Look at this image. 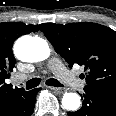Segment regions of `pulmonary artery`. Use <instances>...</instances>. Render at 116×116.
<instances>
[{
	"label": "pulmonary artery",
	"instance_id": "obj_1",
	"mask_svg": "<svg viewBox=\"0 0 116 116\" xmlns=\"http://www.w3.org/2000/svg\"><path fill=\"white\" fill-rule=\"evenodd\" d=\"M48 67L53 71V73L65 84L76 89H82L84 87V82L80 80L75 73L66 69L63 63L53 58L49 61ZM25 77L21 74L15 76L16 81H22Z\"/></svg>",
	"mask_w": 116,
	"mask_h": 116
}]
</instances>
